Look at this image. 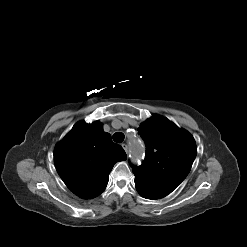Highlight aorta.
<instances>
[{
  "label": "aorta",
  "instance_id": "aorta-1",
  "mask_svg": "<svg viewBox=\"0 0 247 247\" xmlns=\"http://www.w3.org/2000/svg\"><path fill=\"white\" fill-rule=\"evenodd\" d=\"M129 152L132 159L139 158L144 152L143 142L135 135L129 138Z\"/></svg>",
  "mask_w": 247,
  "mask_h": 247
}]
</instances>
